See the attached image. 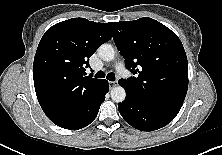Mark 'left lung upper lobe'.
<instances>
[{"instance_id": "5c2ea615", "label": "left lung upper lobe", "mask_w": 222, "mask_h": 155, "mask_svg": "<svg viewBox=\"0 0 222 155\" xmlns=\"http://www.w3.org/2000/svg\"><path fill=\"white\" fill-rule=\"evenodd\" d=\"M109 25L126 68L136 74L119 84L140 98L180 110L188 89V62L178 36L147 17Z\"/></svg>"}]
</instances>
